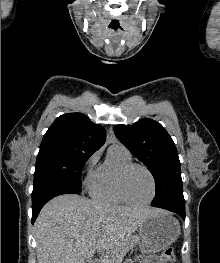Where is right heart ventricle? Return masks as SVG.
Returning a JSON list of instances; mask_svg holds the SVG:
<instances>
[{
  "instance_id": "right-heart-ventricle-1",
  "label": "right heart ventricle",
  "mask_w": 220,
  "mask_h": 263,
  "mask_svg": "<svg viewBox=\"0 0 220 263\" xmlns=\"http://www.w3.org/2000/svg\"><path fill=\"white\" fill-rule=\"evenodd\" d=\"M132 163L130 153L117 145L108 150L105 161L89 179V191L95 200L109 204H125L118 191V175L127 164Z\"/></svg>"
}]
</instances>
